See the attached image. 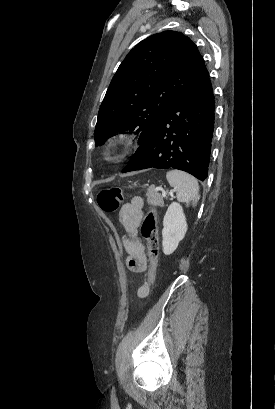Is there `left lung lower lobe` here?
<instances>
[{
    "instance_id": "1",
    "label": "left lung lower lobe",
    "mask_w": 275,
    "mask_h": 409,
    "mask_svg": "<svg viewBox=\"0 0 275 409\" xmlns=\"http://www.w3.org/2000/svg\"><path fill=\"white\" fill-rule=\"evenodd\" d=\"M215 102L209 74L161 117L122 172L175 168L207 178Z\"/></svg>"
}]
</instances>
